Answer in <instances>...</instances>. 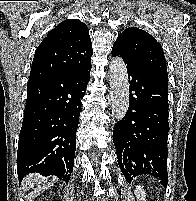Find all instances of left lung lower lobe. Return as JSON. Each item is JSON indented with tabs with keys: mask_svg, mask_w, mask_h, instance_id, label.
<instances>
[{
	"mask_svg": "<svg viewBox=\"0 0 196 201\" xmlns=\"http://www.w3.org/2000/svg\"><path fill=\"white\" fill-rule=\"evenodd\" d=\"M112 56L122 57L115 49ZM125 63L130 79V100L126 115L113 130L118 164L127 182L140 174H149L166 188L168 81Z\"/></svg>",
	"mask_w": 196,
	"mask_h": 201,
	"instance_id": "obj_1",
	"label": "left lung lower lobe"
}]
</instances>
